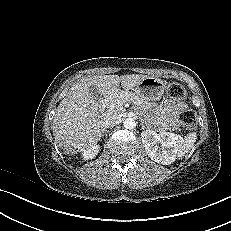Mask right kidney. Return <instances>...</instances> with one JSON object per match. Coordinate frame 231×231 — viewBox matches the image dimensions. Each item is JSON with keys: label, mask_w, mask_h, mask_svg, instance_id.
I'll list each match as a JSON object with an SVG mask.
<instances>
[{"label": "right kidney", "mask_w": 231, "mask_h": 231, "mask_svg": "<svg viewBox=\"0 0 231 231\" xmlns=\"http://www.w3.org/2000/svg\"><path fill=\"white\" fill-rule=\"evenodd\" d=\"M100 147L99 145H94L91 148L84 150L82 152L83 160H89L94 158L99 153Z\"/></svg>", "instance_id": "obj_1"}]
</instances>
